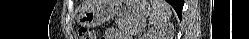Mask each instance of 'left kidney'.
Listing matches in <instances>:
<instances>
[{"mask_svg":"<svg viewBox=\"0 0 249 39\" xmlns=\"http://www.w3.org/2000/svg\"><path fill=\"white\" fill-rule=\"evenodd\" d=\"M157 37H159V33L157 31L151 30L145 34L142 39H157Z\"/></svg>","mask_w":249,"mask_h":39,"instance_id":"5707ae66","label":"left kidney"}]
</instances>
